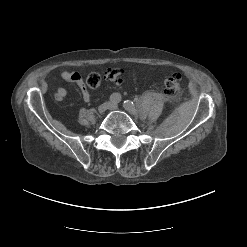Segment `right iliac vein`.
<instances>
[{"instance_id":"right-iliac-vein-1","label":"right iliac vein","mask_w":247,"mask_h":247,"mask_svg":"<svg viewBox=\"0 0 247 247\" xmlns=\"http://www.w3.org/2000/svg\"><path fill=\"white\" fill-rule=\"evenodd\" d=\"M110 103L105 102L102 103L99 107H98V112L99 113H104L108 108H109Z\"/></svg>"}]
</instances>
